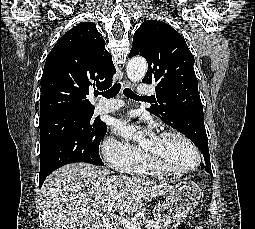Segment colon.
Here are the masks:
<instances>
[{"mask_svg": "<svg viewBox=\"0 0 255 229\" xmlns=\"http://www.w3.org/2000/svg\"><path fill=\"white\" fill-rule=\"evenodd\" d=\"M176 229H192V228H190V226L187 223L182 222L177 226Z\"/></svg>", "mask_w": 255, "mask_h": 229, "instance_id": "1", "label": "colon"}]
</instances>
